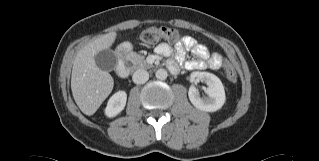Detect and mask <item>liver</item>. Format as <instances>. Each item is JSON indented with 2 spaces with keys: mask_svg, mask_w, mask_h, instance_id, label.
Masks as SVG:
<instances>
[{
  "mask_svg": "<svg viewBox=\"0 0 319 161\" xmlns=\"http://www.w3.org/2000/svg\"><path fill=\"white\" fill-rule=\"evenodd\" d=\"M116 36V32L99 36L84 46L74 59L71 90L77 106L86 115H93L113 89L112 76L97 67L94 56L108 49Z\"/></svg>",
  "mask_w": 319,
  "mask_h": 161,
  "instance_id": "liver-1",
  "label": "liver"
}]
</instances>
